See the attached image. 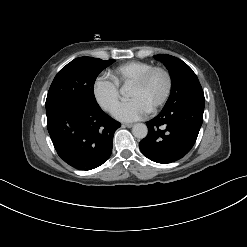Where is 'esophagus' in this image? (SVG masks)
<instances>
[{
    "instance_id": "34e87169",
    "label": "esophagus",
    "mask_w": 247,
    "mask_h": 247,
    "mask_svg": "<svg viewBox=\"0 0 247 247\" xmlns=\"http://www.w3.org/2000/svg\"><path fill=\"white\" fill-rule=\"evenodd\" d=\"M122 126L131 128V127L134 126V124H132V123H124V124H122Z\"/></svg>"
}]
</instances>
